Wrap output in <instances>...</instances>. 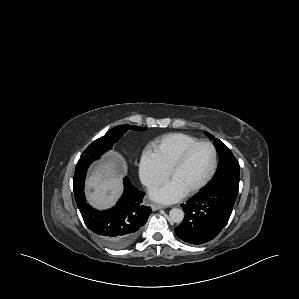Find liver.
Listing matches in <instances>:
<instances>
[{
  "label": "liver",
  "instance_id": "obj_1",
  "mask_svg": "<svg viewBox=\"0 0 299 299\" xmlns=\"http://www.w3.org/2000/svg\"><path fill=\"white\" fill-rule=\"evenodd\" d=\"M122 157L113 153L103 162L96 164L86 180L87 199L97 209H107L115 204L123 191L118 173Z\"/></svg>",
  "mask_w": 299,
  "mask_h": 299
}]
</instances>
